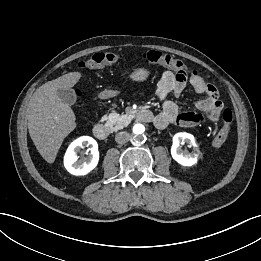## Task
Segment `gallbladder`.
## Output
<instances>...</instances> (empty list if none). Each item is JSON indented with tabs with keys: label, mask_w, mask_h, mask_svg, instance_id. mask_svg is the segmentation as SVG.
I'll return each mask as SVG.
<instances>
[{
	"label": "gallbladder",
	"mask_w": 261,
	"mask_h": 261,
	"mask_svg": "<svg viewBox=\"0 0 261 261\" xmlns=\"http://www.w3.org/2000/svg\"><path fill=\"white\" fill-rule=\"evenodd\" d=\"M57 95L60 98V100L67 105H73L77 100V95L75 91L71 88L58 89Z\"/></svg>",
	"instance_id": "bac80fb5"
}]
</instances>
